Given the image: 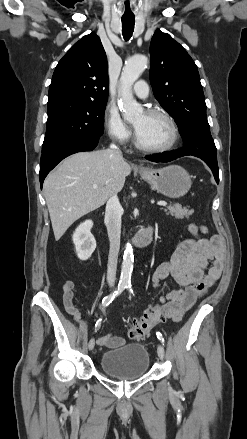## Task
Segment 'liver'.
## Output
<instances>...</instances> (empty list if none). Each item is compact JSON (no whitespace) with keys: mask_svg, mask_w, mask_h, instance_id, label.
Here are the masks:
<instances>
[{"mask_svg":"<svg viewBox=\"0 0 247 439\" xmlns=\"http://www.w3.org/2000/svg\"><path fill=\"white\" fill-rule=\"evenodd\" d=\"M130 173L131 166L111 149L80 152L66 158L47 176L43 186L55 240L76 220L101 207L122 189Z\"/></svg>","mask_w":247,"mask_h":439,"instance_id":"obj_1","label":"liver"}]
</instances>
